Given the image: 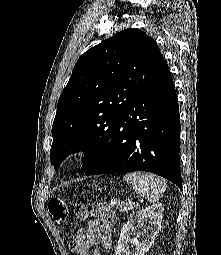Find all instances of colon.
<instances>
[{"mask_svg":"<svg viewBox=\"0 0 221 255\" xmlns=\"http://www.w3.org/2000/svg\"><path fill=\"white\" fill-rule=\"evenodd\" d=\"M48 210L57 224H66L68 219V208L61 199H51L48 202ZM88 215H91V205L83 206L78 214V218L82 219Z\"/></svg>","mask_w":221,"mask_h":255,"instance_id":"1","label":"colon"}]
</instances>
